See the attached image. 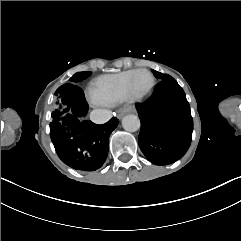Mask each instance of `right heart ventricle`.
<instances>
[{
  "mask_svg": "<svg viewBox=\"0 0 241 241\" xmlns=\"http://www.w3.org/2000/svg\"><path fill=\"white\" fill-rule=\"evenodd\" d=\"M134 74V72H123L98 77L88 90V99L101 105H113L125 100L130 96L127 90L128 80L129 83L135 81L136 74Z\"/></svg>",
  "mask_w": 241,
  "mask_h": 241,
  "instance_id": "right-heart-ventricle-1",
  "label": "right heart ventricle"
}]
</instances>
